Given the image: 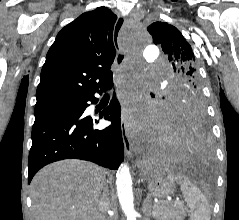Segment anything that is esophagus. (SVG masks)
<instances>
[{
  "instance_id": "esophagus-1",
  "label": "esophagus",
  "mask_w": 239,
  "mask_h": 220,
  "mask_svg": "<svg viewBox=\"0 0 239 220\" xmlns=\"http://www.w3.org/2000/svg\"><path fill=\"white\" fill-rule=\"evenodd\" d=\"M123 19L120 18L117 22V26H114V47H118L117 48V61H115V65L114 67H112V73L114 74V79L118 80L119 79V75L121 73V69L123 68V62L126 59V54L121 50L120 43H119V37H122V29H123ZM115 87L119 86L118 82L114 83ZM121 129H122V134H123V143H124V148H125V153L127 155L128 158H132L133 157V153L135 152V148L133 147L132 142L129 139L128 136V132H127V124L126 121L124 120V118H122L121 121Z\"/></svg>"
}]
</instances>
